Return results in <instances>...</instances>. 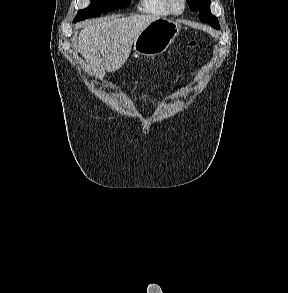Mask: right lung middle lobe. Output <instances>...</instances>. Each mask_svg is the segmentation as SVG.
<instances>
[{
    "instance_id": "dd1d6c3e",
    "label": "right lung middle lobe",
    "mask_w": 288,
    "mask_h": 293,
    "mask_svg": "<svg viewBox=\"0 0 288 293\" xmlns=\"http://www.w3.org/2000/svg\"><path fill=\"white\" fill-rule=\"evenodd\" d=\"M131 0H91V4L86 9L79 10L74 23L90 17H97L101 13L122 9L130 4Z\"/></svg>"
}]
</instances>
